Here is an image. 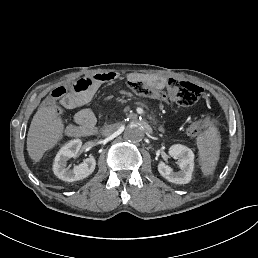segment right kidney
Here are the masks:
<instances>
[{
    "instance_id": "1",
    "label": "right kidney",
    "mask_w": 258,
    "mask_h": 258,
    "mask_svg": "<svg viewBox=\"0 0 258 258\" xmlns=\"http://www.w3.org/2000/svg\"><path fill=\"white\" fill-rule=\"evenodd\" d=\"M81 139H72L64 144L56 154L53 163L54 174L63 181L74 182L89 176L95 169V159L93 157L86 158L83 163L75 165L71 169V165L67 161L75 157L82 147Z\"/></svg>"
}]
</instances>
